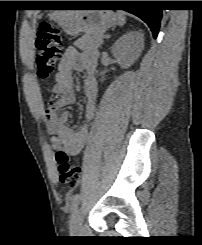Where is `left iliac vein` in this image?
Here are the masks:
<instances>
[{
	"label": "left iliac vein",
	"mask_w": 202,
	"mask_h": 245,
	"mask_svg": "<svg viewBox=\"0 0 202 245\" xmlns=\"http://www.w3.org/2000/svg\"><path fill=\"white\" fill-rule=\"evenodd\" d=\"M83 212L80 208L76 207L71 214L70 218V231L78 233L81 230Z\"/></svg>",
	"instance_id": "1"
}]
</instances>
